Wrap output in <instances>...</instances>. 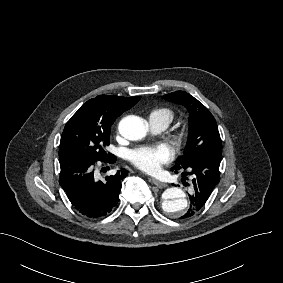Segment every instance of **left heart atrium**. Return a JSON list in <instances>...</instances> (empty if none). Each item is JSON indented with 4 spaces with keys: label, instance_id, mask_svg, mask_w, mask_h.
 <instances>
[{
    "label": "left heart atrium",
    "instance_id": "obj_1",
    "mask_svg": "<svg viewBox=\"0 0 283 283\" xmlns=\"http://www.w3.org/2000/svg\"><path fill=\"white\" fill-rule=\"evenodd\" d=\"M174 157L173 151L166 145L145 146L132 150L130 161L143 172L157 173L163 164L170 162Z\"/></svg>",
    "mask_w": 283,
    "mask_h": 283
}]
</instances>
